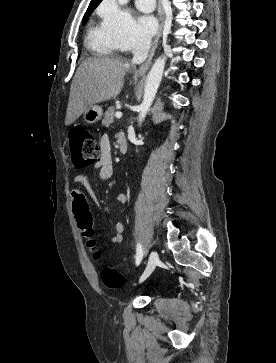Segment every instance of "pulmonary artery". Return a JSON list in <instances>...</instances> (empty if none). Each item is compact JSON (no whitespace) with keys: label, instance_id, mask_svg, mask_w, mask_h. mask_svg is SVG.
<instances>
[{"label":"pulmonary artery","instance_id":"e3ab8cb5","mask_svg":"<svg viewBox=\"0 0 276 363\" xmlns=\"http://www.w3.org/2000/svg\"><path fill=\"white\" fill-rule=\"evenodd\" d=\"M135 4L143 12H151L155 8V0H135Z\"/></svg>","mask_w":276,"mask_h":363}]
</instances>
